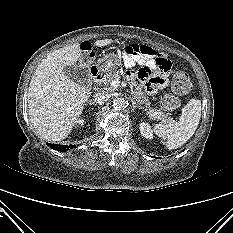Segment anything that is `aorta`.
I'll use <instances>...</instances> for the list:
<instances>
[{"instance_id":"obj_1","label":"aorta","mask_w":233,"mask_h":233,"mask_svg":"<svg viewBox=\"0 0 233 233\" xmlns=\"http://www.w3.org/2000/svg\"><path fill=\"white\" fill-rule=\"evenodd\" d=\"M112 106L115 110H123L127 107V101L122 97H117L112 101Z\"/></svg>"}]
</instances>
